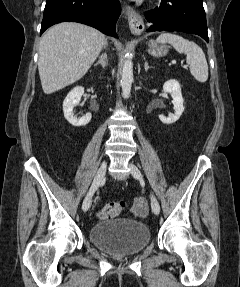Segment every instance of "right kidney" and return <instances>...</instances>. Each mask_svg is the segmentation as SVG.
<instances>
[{
	"instance_id": "obj_1",
	"label": "right kidney",
	"mask_w": 240,
	"mask_h": 287,
	"mask_svg": "<svg viewBox=\"0 0 240 287\" xmlns=\"http://www.w3.org/2000/svg\"><path fill=\"white\" fill-rule=\"evenodd\" d=\"M84 94V88L77 86L72 89L69 94L66 96L63 102V112L65 119L73 126L80 127L87 125L92 118L91 113H86L81 118L74 116L73 109L80 102V98Z\"/></svg>"
}]
</instances>
